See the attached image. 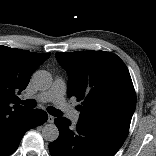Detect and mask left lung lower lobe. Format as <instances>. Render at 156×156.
I'll return each instance as SVG.
<instances>
[{"instance_id":"1","label":"left lung lower lobe","mask_w":156,"mask_h":156,"mask_svg":"<svg viewBox=\"0 0 156 156\" xmlns=\"http://www.w3.org/2000/svg\"><path fill=\"white\" fill-rule=\"evenodd\" d=\"M59 137L49 144L52 156H114L125 141L113 130L77 123L71 128L65 117L55 119Z\"/></svg>"}]
</instances>
